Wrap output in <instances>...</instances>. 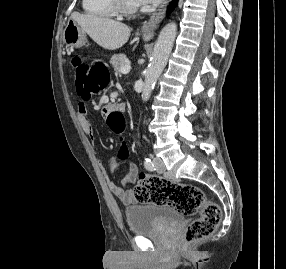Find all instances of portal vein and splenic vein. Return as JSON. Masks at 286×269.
<instances>
[{
    "instance_id": "1",
    "label": "portal vein and splenic vein",
    "mask_w": 286,
    "mask_h": 269,
    "mask_svg": "<svg viewBox=\"0 0 286 269\" xmlns=\"http://www.w3.org/2000/svg\"><path fill=\"white\" fill-rule=\"evenodd\" d=\"M130 69H131V66H130V65H126L125 67H123V68L121 69V73H122V74H127V73L130 72Z\"/></svg>"
}]
</instances>
